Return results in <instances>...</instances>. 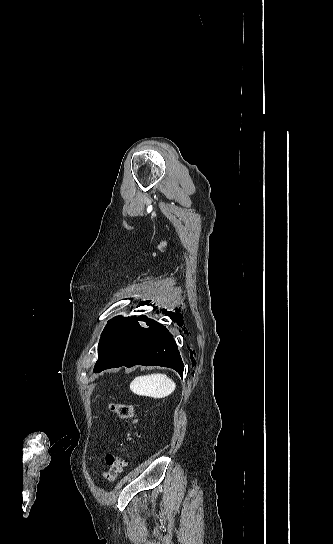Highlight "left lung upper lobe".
Returning a JSON list of instances; mask_svg holds the SVG:
<instances>
[{
    "instance_id": "5c2ea615",
    "label": "left lung upper lobe",
    "mask_w": 333,
    "mask_h": 544,
    "mask_svg": "<svg viewBox=\"0 0 333 544\" xmlns=\"http://www.w3.org/2000/svg\"><path fill=\"white\" fill-rule=\"evenodd\" d=\"M126 319H130V318H126ZM115 320H116V321H120V320H121V317H117V318H115ZM131 320H134L135 322H137V320L145 321L146 324L149 326V328H152V327H154L156 324H158L155 320H153V319H151V318H148L147 316H144V315L139 316L138 318H133V319H131ZM106 331H107V329H106ZM106 331H105V332H106ZM105 332H104L103 335H102L101 341L104 339L103 336H104ZM105 355H106V349H105V347L103 346V343L100 342V344H99V349H98V360H97V362H96L95 367L98 366V365H100V364L103 362V360H104V358H105Z\"/></svg>"
}]
</instances>
